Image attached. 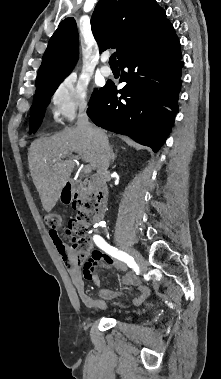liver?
<instances>
[{"label": "liver", "instance_id": "obj_1", "mask_svg": "<svg viewBox=\"0 0 221 379\" xmlns=\"http://www.w3.org/2000/svg\"><path fill=\"white\" fill-rule=\"evenodd\" d=\"M98 149V141L78 127L31 143L28 151L29 169L45 211L50 212L54 208L62 188L70 178L75 166L71 160L73 152L96 169Z\"/></svg>", "mask_w": 221, "mask_h": 379}]
</instances>
